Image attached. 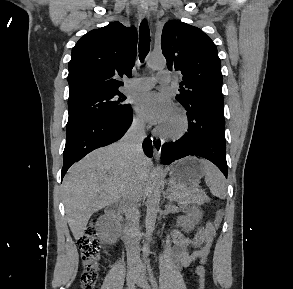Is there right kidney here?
Segmentation results:
<instances>
[{
	"label": "right kidney",
	"mask_w": 293,
	"mask_h": 289,
	"mask_svg": "<svg viewBox=\"0 0 293 289\" xmlns=\"http://www.w3.org/2000/svg\"><path fill=\"white\" fill-rule=\"evenodd\" d=\"M97 226H99L101 229H104L107 226L106 223V217L105 216H101L97 222Z\"/></svg>",
	"instance_id": "1"
}]
</instances>
